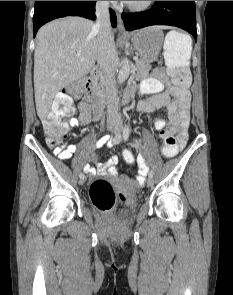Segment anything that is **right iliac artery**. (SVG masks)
Masks as SVG:
<instances>
[{"label":"right iliac artery","mask_w":233,"mask_h":295,"mask_svg":"<svg viewBox=\"0 0 233 295\" xmlns=\"http://www.w3.org/2000/svg\"><path fill=\"white\" fill-rule=\"evenodd\" d=\"M120 141H121V134L118 133V134L115 135L114 142H112V145L118 144ZM79 176H80V178H82V177H84V174L80 173Z\"/></svg>","instance_id":"right-iliac-artery-1"}]
</instances>
